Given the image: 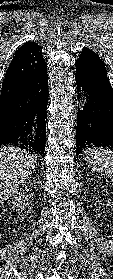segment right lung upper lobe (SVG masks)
I'll use <instances>...</instances> for the list:
<instances>
[{"mask_svg": "<svg viewBox=\"0 0 113 279\" xmlns=\"http://www.w3.org/2000/svg\"><path fill=\"white\" fill-rule=\"evenodd\" d=\"M41 50L42 48L33 42L25 43L17 49L2 84L0 110H3L38 73L47 67Z\"/></svg>", "mask_w": 113, "mask_h": 279, "instance_id": "cb5924a9", "label": "right lung upper lobe"}]
</instances>
